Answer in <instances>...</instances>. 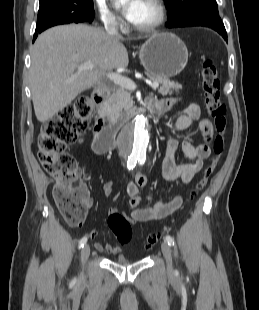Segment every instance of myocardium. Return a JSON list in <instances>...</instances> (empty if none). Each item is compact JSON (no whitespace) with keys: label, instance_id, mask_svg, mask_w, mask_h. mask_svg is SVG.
I'll list each match as a JSON object with an SVG mask.
<instances>
[{"label":"myocardium","instance_id":"1","mask_svg":"<svg viewBox=\"0 0 259 310\" xmlns=\"http://www.w3.org/2000/svg\"><path fill=\"white\" fill-rule=\"evenodd\" d=\"M157 9V19L150 25L147 26H136L131 24L132 28L140 33H150L158 30L166 21L167 9L162 0H149Z\"/></svg>","mask_w":259,"mask_h":310}]
</instances>
